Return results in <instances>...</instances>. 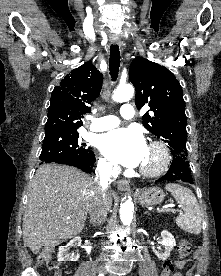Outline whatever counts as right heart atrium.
<instances>
[{
	"mask_svg": "<svg viewBox=\"0 0 221 276\" xmlns=\"http://www.w3.org/2000/svg\"><path fill=\"white\" fill-rule=\"evenodd\" d=\"M98 166L107 174H115L117 172V167L103 158L99 160Z\"/></svg>",
	"mask_w": 221,
	"mask_h": 276,
	"instance_id": "1",
	"label": "right heart atrium"
}]
</instances>
